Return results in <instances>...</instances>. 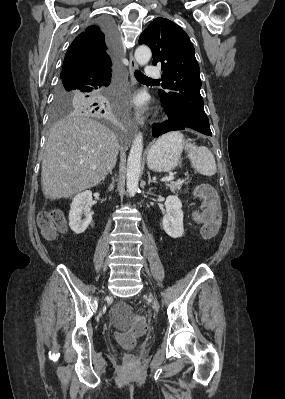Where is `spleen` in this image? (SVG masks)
<instances>
[{
  "label": "spleen",
  "instance_id": "spleen-1",
  "mask_svg": "<svg viewBox=\"0 0 285 399\" xmlns=\"http://www.w3.org/2000/svg\"><path fill=\"white\" fill-rule=\"evenodd\" d=\"M185 149L192 167L202 175L212 176L217 172L215 158L212 152L205 146H196L186 143Z\"/></svg>",
  "mask_w": 285,
  "mask_h": 399
}]
</instances>
